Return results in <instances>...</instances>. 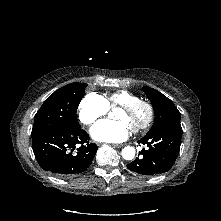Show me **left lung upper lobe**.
Here are the masks:
<instances>
[{"label": "left lung upper lobe", "mask_w": 221, "mask_h": 221, "mask_svg": "<svg viewBox=\"0 0 221 221\" xmlns=\"http://www.w3.org/2000/svg\"><path fill=\"white\" fill-rule=\"evenodd\" d=\"M142 90L151 101L155 114L154 124L149 132L165 126L181 127V113L169 98L147 86Z\"/></svg>", "instance_id": "1"}]
</instances>
